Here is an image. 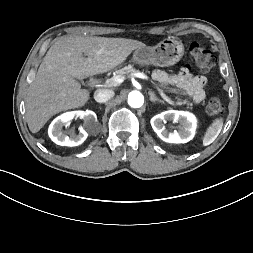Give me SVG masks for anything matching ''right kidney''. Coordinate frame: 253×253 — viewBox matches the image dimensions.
<instances>
[{"mask_svg":"<svg viewBox=\"0 0 253 253\" xmlns=\"http://www.w3.org/2000/svg\"><path fill=\"white\" fill-rule=\"evenodd\" d=\"M75 117H79L84 120L83 127L80 128L78 135L71 132L68 136L67 133L62 130V127ZM96 121V114L90 110L66 112L52 121L48 130L49 136L52 141L58 145L70 147L78 146L86 140L88 136L86 130L89 129Z\"/></svg>","mask_w":253,"mask_h":253,"instance_id":"ca27d5eb","label":"right kidney"}]
</instances>
